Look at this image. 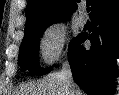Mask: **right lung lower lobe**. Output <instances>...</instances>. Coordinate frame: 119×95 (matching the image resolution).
Returning <instances> with one entry per match:
<instances>
[{"label":"right lung lower lobe","mask_w":119,"mask_h":95,"mask_svg":"<svg viewBox=\"0 0 119 95\" xmlns=\"http://www.w3.org/2000/svg\"><path fill=\"white\" fill-rule=\"evenodd\" d=\"M91 35L80 34L69 45V63L74 81L87 95H112L118 76L119 7L92 20ZM89 39L91 48L82 43Z\"/></svg>","instance_id":"right-lung-lower-lobe-1"}]
</instances>
